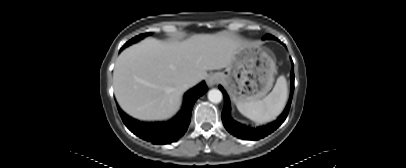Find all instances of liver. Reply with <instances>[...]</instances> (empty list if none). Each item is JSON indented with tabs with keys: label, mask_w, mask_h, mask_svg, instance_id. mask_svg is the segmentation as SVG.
I'll return each instance as SVG.
<instances>
[{
	"label": "liver",
	"mask_w": 406,
	"mask_h": 168,
	"mask_svg": "<svg viewBox=\"0 0 406 168\" xmlns=\"http://www.w3.org/2000/svg\"><path fill=\"white\" fill-rule=\"evenodd\" d=\"M245 44L241 39L215 34H196L181 42L146 38L117 58L115 97L134 118L168 119L179 110L189 87L206 79L207 71L228 67ZM192 77L196 82L187 86Z\"/></svg>",
	"instance_id": "6515ba94"
}]
</instances>
